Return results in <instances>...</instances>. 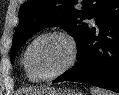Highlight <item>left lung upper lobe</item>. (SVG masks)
Returning <instances> with one entry per match:
<instances>
[{
  "mask_svg": "<svg viewBox=\"0 0 119 95\" xmlns=\"http://www.w3.org/2000/svg\"><path fill=\"white\" fill-rule=\"evenodd\" d=\"M108 0H27L19 11V25L13 36L11 62L23 43L43 28L61 26L74 37L77 47L90 27L82 20L95 17ZM81 2L82 10L77 8Z\"/></svg>",
  "mask_w": 119,
  "mask_h": 95,
  "instance_id": "5c2ea615",
  "label": "left lung upper lobe"
}]
</instances>
